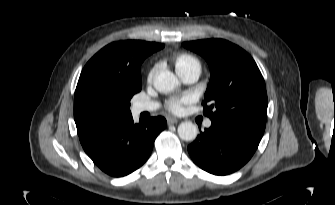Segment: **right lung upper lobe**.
<instances>
[{"label": "right lung upper lobe", "mask_w": 335, "mask_h": 205, "mask_svg": "<svg viewBox=\"0 0 335 205\" xmlns=\"http://www.w3.org/2000/svg\"><path fill=\"white\" fill-rule=\"evenodd\" d=\"M164 47L140 40L111 43L83 68L74 95V120L79 136L100 131L130 116V93L141 81L144 59Z\"/></svg>", "instance_id": "1"}]
</instances>
